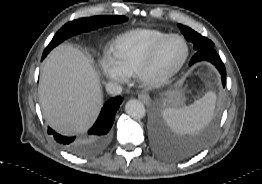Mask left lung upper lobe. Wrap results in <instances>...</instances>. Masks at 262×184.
I'll list each match as a JSON object with an SVG mask.
<instances>
[{
    "label": "left lung upper lobe",
    "instance_id": "5c2ea615",
    "mask_svg": "<svg viewBox=\"0 0 262 184\" xmlns=\"http://www.w3.org/2000/svg\"><path fill=\"white\" fill-rule=\"evenodd\" d=\"M181 32L183 33V35L185 36V38L193 43L194 49L196 51L201 50V49H205V48H213L214 47V43L212 41H210L209 39H207L206 37L200 35L199 33H197L196 31H194L193 29L185 26V25H181L178 24Z\"/></svg>",
    "mask_w": 262,
    "mask_h": 184
}]
</instances>
